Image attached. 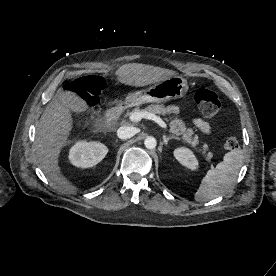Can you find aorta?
<instances>
[{
  "label": "aorta",
  "instance_id": "1",
  "mask_svg": "<svg viewBox=\"0 0 276 276\" xmlns=\"http://www.w3.org/2000/svg\"><path fill=\"white\" fill-rule=\"evenodd\" d=\"M144 145L147 149H154L157 145V141L154 137H147L144 141Z\"/></svg>",
  "mask_w": 276,
  "mask_h": 276
}]
</instances>
